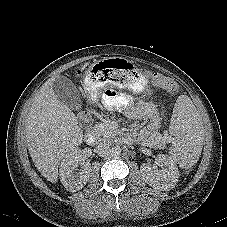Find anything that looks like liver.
<instances>
[{
    "mask_svg": "<svg viewBox=\"0 0 227 227\" xmlns=\"http://www.w3.org/2000/svg\"><path fill=\"white\" fill-rule=\"evenodd\" d=\"M56 77L40 88L29 109L25 132L35 167L51 183L58 181V167L65 155L83 140L75 114L54 93Z\"/></svg>",
    "mask_w": 227,
    "mask_h": 227,
    "instance_id": "obj_1",
    "label": "liver"
}]
</instances>
